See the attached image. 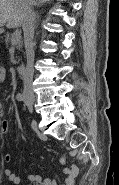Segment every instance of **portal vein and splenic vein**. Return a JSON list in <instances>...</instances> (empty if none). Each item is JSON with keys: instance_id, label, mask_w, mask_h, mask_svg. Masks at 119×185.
I'll list each match as a JSON object with an SVG mask.
<instances>
[{"instance_id": "portal-vein-and-splenic-vein-1", "label": "portal vein and splenic vein", "mask_w": 119, "mask_h": 185, "mask_svg": "<svg viewBox=\"0 0 119 185\" xmlns=\"http://www.w3.org/2000/svg\"><path fill=\"white\" fill-rule=\"evenodd\" d=\"M21 39V33L19 31H16L12 34L11 38V44L16 45Z\"/></svg>"}]
</instances>
